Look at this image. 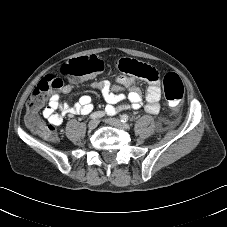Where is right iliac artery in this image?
I'll use <instances>...</instances> for the list:
<instances>
[{
	"instance_id": "right-iliac-artery-1",
	"label": "right iliac artery",
	"mask_w": 227,
	"mask_h": 227,
	"mask_svg": "<svg viewBox=\"0 0 227 227\" xmlns=\"http://www.w3.org/2000/svg\"><path fill=\"white\" fill-rule=\"evenodd\" d=\"M105 115V113L103 111H97V112H94L90 115V118L91 119H97V118H101Z\"/></svg>"
}]
</instances>
